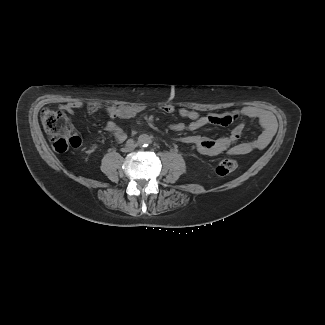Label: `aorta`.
<instances>
[{"label": "aorta", "mask_w": 325, "mask_h": 325, "mask_svg": "<svg viewBox=\"0 0 325 325\" xmlns=\"http://www.w3.org/2000/svg\"><path fill=\"white\" fill-rule=\"evenodd\" d=\"M151 144V137L147 134H141L138 137V145L141 147H147Z\"/></svg>", "instance_id": "1"}]
</instances>
